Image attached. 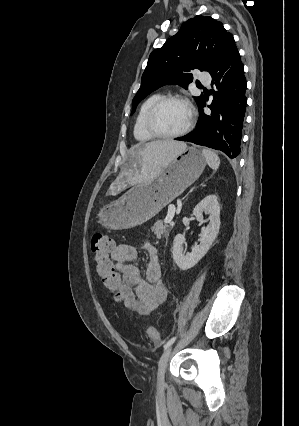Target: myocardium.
<instances>
[{
    "instance_id": "1",
    "label": "myocardium",
    "mask_w": 299,
    "mask_h": 426,
    "mask_svg": "<svg viewBox=\"0 0 299 426\" xmlns=\"http://www.w3.org/2000/svg\"><path fill=\"white\" fill-rule=\"evenodd\" d=\"M169 102H181L185 104L189 110V119L186 126L180 131L175 133H164L160 131L155 125V117L158 111L160 110L162 106H164L165 104ZM193 124H194L193 106L187 98L181 95H165L161 97L160 99H158L149 109L146 116V120H145V125L148 132L154 137L162 138V139H173V138L181 137L187 134L191 130V128L193 127Z\"/></svg>"
}]
</instances>
